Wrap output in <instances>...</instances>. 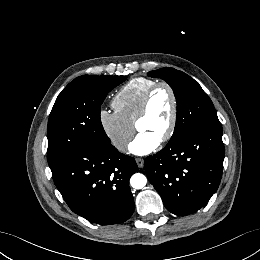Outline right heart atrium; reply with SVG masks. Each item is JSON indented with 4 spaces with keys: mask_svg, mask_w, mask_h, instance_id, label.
Returning <instances> with one entry per match:
<instances>
[{
    "mask_svg": "<svg viewBox=\"0 0 260 260\" xmlns=\"http://www.w3.org/2000/svg\"><path fill=\"white\" fill-rule=\"evenodd\" d=\"M98 121L111 145L123 152L134 134L133 124L126 121L118 112L106 109L99 111Z\"/></svg>",
    "mask_w": 260,
    "mask_h": 260,
    "instance_id": "obj_1",
    "label": "right heart atrium"
}]
</instances>
